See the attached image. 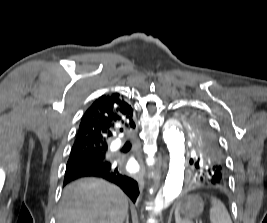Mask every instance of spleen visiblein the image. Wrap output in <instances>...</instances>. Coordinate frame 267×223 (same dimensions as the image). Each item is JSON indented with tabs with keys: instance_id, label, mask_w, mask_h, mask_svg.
<instances>
[{
	"instance_id": "1",
	"label": "spleen",
	"mask_w": 267,
	"mask_h": 223,
	"mask_svg": "<svg viewBox=\"0 0 267 223\" xmlns=\"http://www.w3.org/2000/svg\"><path fill=\"white\" fill-rule=\"evenodd\" d=\"M211 209H210V221L211 223H232L230 215L225 205L217 198H211ZM180 205H177L175 209V220L176 223H190L187 220H181L179 216Z\"/></svg>"
}]
</instances>
